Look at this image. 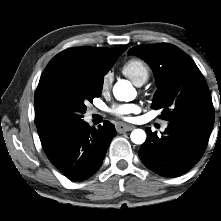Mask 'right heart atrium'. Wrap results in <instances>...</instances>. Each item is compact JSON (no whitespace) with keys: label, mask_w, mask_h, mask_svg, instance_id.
<instances>
[{"label":"right heart atrium","mask_w":221,"mask_h":221,"mask_svg":"<svg viewBox=\"0 0 221 221\" xmlns=\"http://www.w3.org/2000/svg\"><path fill=\"white\" fill-rule=\"evenodd\" d=\"M112 82V74L110 72H107L104 74V76L102 77V87L104 89H107L110 84Z\"/></svg>","instance_id":"obj_1"}]
</instances>
